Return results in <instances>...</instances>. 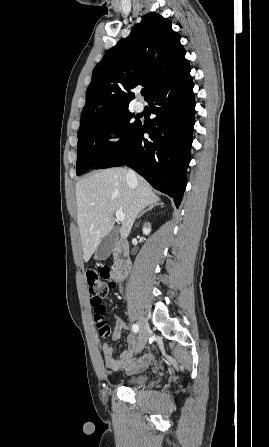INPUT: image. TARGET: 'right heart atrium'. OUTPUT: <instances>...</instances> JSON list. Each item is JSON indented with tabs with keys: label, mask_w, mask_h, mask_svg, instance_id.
Returning <instances> with one entry per match:
<instances>
[{
	"label": "right heart atrium",
	"mask_w": 269,
	"mask_h": 447,
	"mask_svg": "<svg viewBox=\"0 0 269 447\" xmlns=\"http://www.w3.org/2000/svg\"><path fill=\"white\" fill-rule=\"evenodd\" d=\"M105 141L108 144H116L120 141V128L115 122L110 123L105 131Z\"/></svg>",
	"instance_id": "1"
}]
</instances>
